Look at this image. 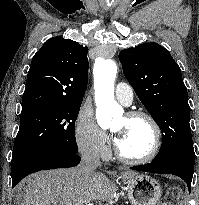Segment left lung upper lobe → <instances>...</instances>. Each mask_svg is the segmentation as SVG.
<instances>
[{"instance_id":"left-lung-upper-lobe-1","label":"left lung upper lobe","mask_w":199,"mask_h":205,"mask_svg":"<svg viewBox=\"0 0 199 205\" xmlns=\"http://www.w3.org/2000/svg\"><path fill=\"white\" fill-rule=\"evenodd\" d=\"M124 75L162 131V146L152 162L183 158L195 161L190 107L181 70L157 43L119 53Z\"/></svg>"}]
</instances>
